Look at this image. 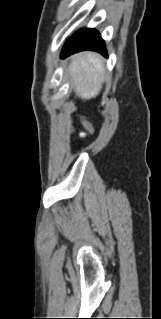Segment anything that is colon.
Masks as SVG:
<instances>
[{
	"label": "colon",
	"mask_w": 161,
	"mask_h": 319,
	"mask_svg": "<svg viewBox=\"0 0 161 319\" xmlns=\"http://www.w3.org/2000/svg\"><path fill=\"white\" fill-rule=\"evenodd\" d=\"M80 119H81V122H82L84 128L88 132L93 133V131H94L93 126L87 120H85L84 118L80 117Z\"/></svg>",
	"instance_id": "5ec220e1"
}]
</instances>
